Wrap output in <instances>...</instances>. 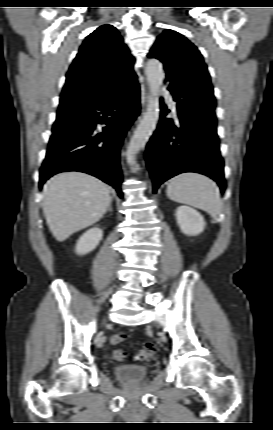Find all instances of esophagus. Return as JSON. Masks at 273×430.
Instances as JSON below:
<instances>
[{
    "mask_svg": "<svg viewBox=\"0 0 273 430\" xmlns=\"http://www.w3.org/2000/svg\"><path fill=\"white\" fill-rule=\"evenodd\" d=\"M149 99H150L149 91H148L146 85H142V87H141V104H142L143 108L147 105V103L149 102Z\"/></svg>",
    "mask_w": 273,
    "mask_h": 430,
    "instance_id": "1",
    "label": "esophagus"
}]
</instances>
